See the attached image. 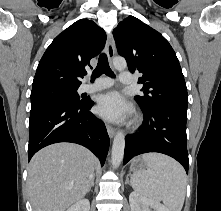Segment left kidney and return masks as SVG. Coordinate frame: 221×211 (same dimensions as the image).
Here are the masks:
<instances>
[{"label":"left kidney","instance_id":"1","mask_svg":"<svg viewBox=\"0 0 221 211\" xmlns=\"http://www.w3.org/2000/svg\"><path fill=\"white\" fill-rule=\"evenodd\" d=\"M131 211H169L166 206L159 201L147 198L137 192L129 195Z\"/></svg>","mask_w":221,"mask_h":211}]
</instances>
